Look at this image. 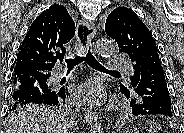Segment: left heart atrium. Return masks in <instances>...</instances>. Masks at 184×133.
Wrapping results in <instances>:
<instances>
[{
    "instance_id": "left-heart-atrium-1",
    "label": "left heart atrium",
    "mask_w": 184,
    "mask_h": 133,
    "mask_svg": "<svg viewBox=\"0 0 184 133\" xmlns=\"http://www.w3.org/2000/svg\"><path fill=\"white\" fill-rule=\"evenodd\" d=\"M75 98L79 103L99 105L104 100L103 87L97 81H89L79 88Z\"/></svg>"
}]
</instances>
